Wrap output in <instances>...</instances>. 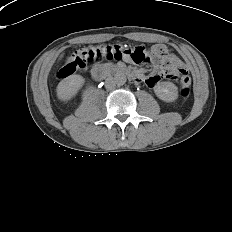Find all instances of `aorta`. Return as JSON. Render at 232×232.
Listing matches in <instances>:
<instances>
[{
  "instance_id": "obj_1",
  "label": "aorta",
  "mask_w": 232,
  "mask_h": 232,
  "mask_svg": "<svg viewBox=\"0 0 232 232\" xmlns=\"http://www.w3.org/2000/svg\"><path fill=\"white\" fill-rule=\"evenodd\" d=\"M114 81H115V84H117L118 86H122L127 81L126 75L124 73H117L114 76Z\"/></svg>"
}]
</instances>
